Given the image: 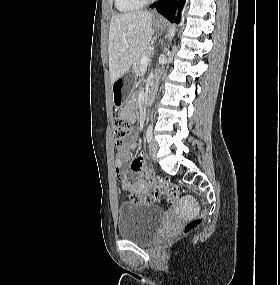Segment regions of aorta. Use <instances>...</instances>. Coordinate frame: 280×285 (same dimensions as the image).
<instances>
[{
  "instance_id": "obj_1",
  "label": "aorta",
  "mask_w": 280,
  "mask_h": 285,
  "mask_svg": "<svg viewBox=\"0 0 280 285\" xmlns=\"http://www.w3.org/2000/svg\"><path fill=\"white\" fill-rule=\"evenodd\" d=\"M179 1V0H178ZM176 15H177V11H176ZM175 26L176 24L174 23L172 28L170 29L169 33H168V37L169 39L171 40L173 37H174V34H175Z\"/></svg>"
}]
</instances>
